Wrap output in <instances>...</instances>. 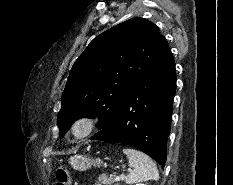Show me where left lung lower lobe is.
Wrapping results in <instances>:
<instances>
[{
  "instance_id": "1",
  "label": "left lung lower lobe",
  "mask_w": 233,
  "mask_h": 185,
  "mask_svg": "<svg viewBox=\"0 0 233 185\" xmlns=\"http://www.w3.org/2000/svg\"><path fill=\"white\" fill-rule=\"evenodd\" d=\"M175 91V62L168 47L137 81L114 121L91 139L136 147L165 165Z\"/></svg>"
}]
</instances>
